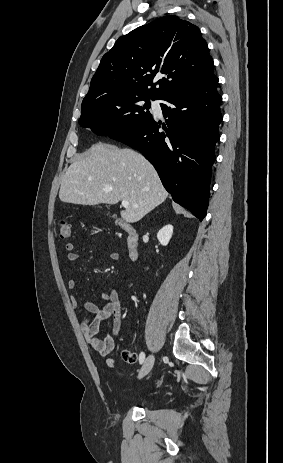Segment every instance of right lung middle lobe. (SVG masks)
Here are the masks:
<instances>
[{
    "label": "right lung middle lobe",
    "mask_w": 283,
    "mask_h": 463,
    "mask_svg": "<svg viewBox=\"0 0 283 463\" xmlns=\"http://www.w3.org/2000/svg\"><path fill=\"white\" fill-rule=\"evenodd\" d=\"M150 99L127 95L101 98L82 105L79 124L100 136L111 138L132 131L152 117L149 112ZM141 101H145V104L142 105Z\"/></svg>",
    "instance_id": "1"
}]
</instances>
